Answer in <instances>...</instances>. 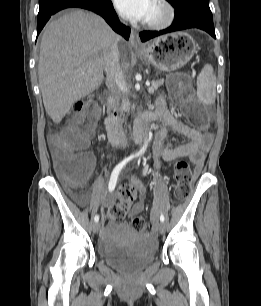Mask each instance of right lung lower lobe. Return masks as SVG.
<instances>
[{
  "label": "right lung lower lobe",
  "mask_w": 261,
  "mask_h": 306,
  "mask_svg": "<svg viewBox=\"0 0 261 306\" xmlns=\"http://www.w3.org/2000/svg\"><path fill=\"white\" fill-rule=\"evenodd\" d=\"M39 6L37 34L41 32L51 15L65 8L80 7L101 15L114 31L126 39L129 38L130 28L121 24L111 0H39Z\"/></svg>",
  "instance_id": "obj_1"
}]
</instances>
